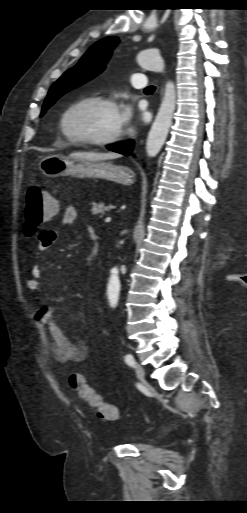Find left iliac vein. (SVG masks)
Listing matches in <instances>:
<instances>
[{"mask_svg": "<svg viewBox=\"0 0 247 513\" xmlns=\"http://www.w3.org/2000/svg\"><path fill=\"white\" fill-rule=\"evenodd\" d=\"M135 372L137 374V376L140 378V379H143L144 376H145V371L143 369V367L138 363L136 362L135 363Z\"/></svg>", "mask_w": 247, "mask_h": 513, "instance_id": "4c4485c4", "label": "left iliac vein"}]
</instances>
